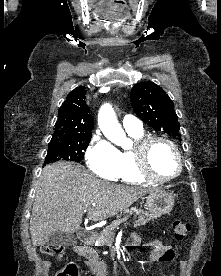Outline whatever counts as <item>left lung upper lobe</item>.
Wrapping results in <instances>:
<instances>
[{"label": "left lung upper lobe", "mask_w": 221, "mask_h": 276, "mask_svg": "<svg viewBox=\"0 0 221 276\" xmlns=\"http://www.w3.org/2000/svg\"><path fill=\"white\" fill-rule=\"evenodd\" d=\"M130 100L134 112L147 125L180 139L174 103L161 87L153 82L138 83L131 90Z\"/></svg>", "instance_id": "1"}]
</instances>
